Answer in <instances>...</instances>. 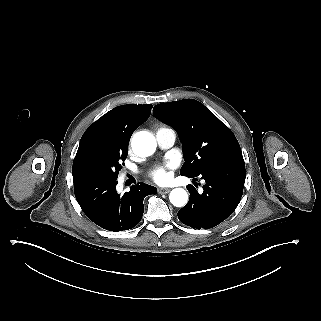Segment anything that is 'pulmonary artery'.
<instances>
[{"mask_svg":"<svg viewBox=\"0 0 321 321\" xmlns=\"http://www.w3.org/2000/svg\"><path fill=\"white\" fill-rule=\"evenodd\" d=\"M157 140L160 147L167 149L176 141V132L172 128H163L157 131Z\"/></svg>","mask_w":321,"mask_h":321,"instance_id":"1","label":"pulmonary artery"}]
</instances>
